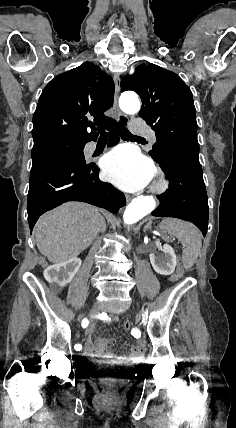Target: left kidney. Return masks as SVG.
<instances>
[{"mask_svg":"<svg viewBox=\"0 0 236 428\" xmlns=\"http://www.w3.org/2000/svg\"><path fill=\"white\" fill-rule=\"evenodd\" d=\"M158 250L163 252V256H158V254H150V262L152 264L153 270L161 276H170L173 274L176 268V256L173 248L164 244V246H158Z\"/></svg>","mask_w":236,"mask_h":428,"instance_id":"obj_1","label":"left kidney"}]
</instances>
